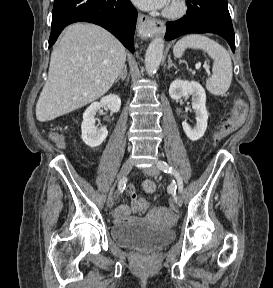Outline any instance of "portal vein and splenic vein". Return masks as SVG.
Returning <instances> with one entry per match:
<instances>
[{
	"label": "portal vein and splenic vein",
	"mask_w": 273,
	"mask_h": 288,
	"mask_svg": "<svg viewBox=\"0 0 273 288\" xmlns=\"http://www.w3.org/2000/svg\"><path fill=\"white\" fill-rule=\"evenodd\" d=\"M201 66V63H198L197 65H196V68H199Z\"/></svg>",
	"instance_id": "18ae733b"
}]
</instances>
